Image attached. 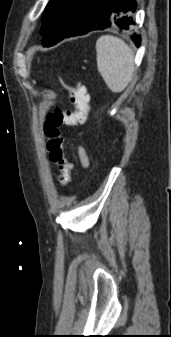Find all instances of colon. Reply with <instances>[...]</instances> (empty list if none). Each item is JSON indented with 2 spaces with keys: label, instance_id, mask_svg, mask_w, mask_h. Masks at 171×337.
<instances>
[{
  "label": "colon",
  "instance_id": "1",
  "mask_svg": "<svg viewBox=\"0 0 171 337\" xmlns=\"http://www.w3.org/2000/svg\"><path fill=\"white\" fill-rule=\"evenodd\" d=\"M61 85L68 91L71 107L67 109L55 108L50 111L43 125V132L47 139L46 148L50 159L58 167V182L61 186H68L74 168L65 149V138L60 128L63 126H77L86 122L89 95L85 85L61 80Z\"/></svg>",
  "mask_w": 171,
  "mask_h": 337
}]
</instances>
